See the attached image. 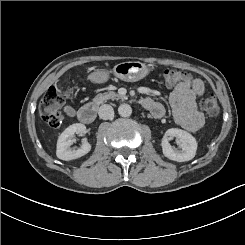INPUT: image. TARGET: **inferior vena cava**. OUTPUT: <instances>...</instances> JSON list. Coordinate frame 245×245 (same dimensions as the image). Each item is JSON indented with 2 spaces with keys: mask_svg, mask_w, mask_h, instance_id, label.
<instances>
[{
  "mask_svg": "<svg viewBox=\"0 0 245 245\" xmlns=\"http://www.w3.org/2000/svg\"><path fill=\"white\" fill-rule=\"evenodd\" d=\"M98 115L101 119L107 120L114 115V110L109 104H103L99 107Z\"/></svg>",
  "mask_w": 245,
  "mask_h": 245,
  "instance_id": "inferior-vena-cava-1",
  "label": "inferior vena cava"
}]
</instances>
